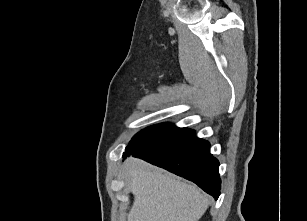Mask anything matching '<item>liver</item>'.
<instances>
[{"instance_id":"liver-1","label":"liver","mask_w":307,"mask_h":221,"mask_svg":"<svg viewBox=\"0 0 307 221\" xmlns=\"http://www.w3.org/2000/svg\"><path fill=\"white\" fill-rule=\"evenodd\" d=\"M125 177L134 195L128 221H199L209 199L195 185L129 158Z\"/></svg>"}]
</instances>
